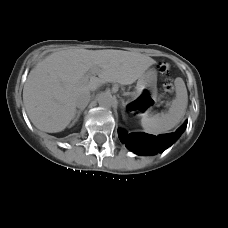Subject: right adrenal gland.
<instances>
[{"instance_id": "obj_1", "label": "right adrenal gland", "mask_w": 228, "mask_h": 228, "mask_svg": "<svg viewBox=\"0 0 228 228\" xmlns=\"http://www.w3.org/2000/svg\"><path fill=\"white\" fill-rule=\"evenodd\" d=\"M83 110H84V109H79V110L76 111V117H75V119L73 120L71 126L74 125V123L78 121V119H79V117H80V115H81V113H82Z\"/></svg>"}]
</instances>
